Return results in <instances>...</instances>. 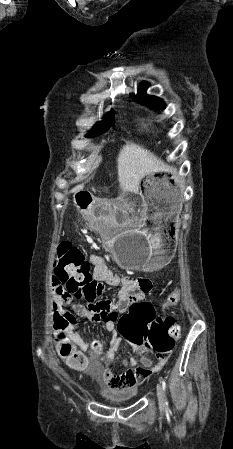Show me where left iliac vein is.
<instances>
[{
	"instance_id": "obj_1",
	"label": "left iliac vein",
	"mask_w": 233,
	"mask_h": 449,
	"mask_svg": "<svg viewBox=\"0 0 233 449\" xmlns=\"http://www.w3.org/2000/svg\"><path fill=\"white\" fill-rule=\"evenodd\" d=\"M157 397H158L159 408L164 409L165 401H164L163 389L160 384L157 385Z\"/></svg>"
}]
</instances>
